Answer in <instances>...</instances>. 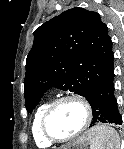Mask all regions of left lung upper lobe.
Segmentation results:
<instances>
[{"mask_svg": "<svg viewBox=\"0 0 124 149\" xmlns=\"http://www.w3.org/2000/svg\"><path fill=\"white\" fill-rule=\"evenodd\" d=\"M26 59L24 96L28 112L50 86L86 97L114 71L112 41L98 13L72 8L35 30Z\"/></svg>", "mask_w": 124, "mask_h": 149, "instance_id": "1", "label": "left lung upper lobe"}]
</instances>
